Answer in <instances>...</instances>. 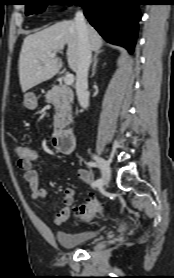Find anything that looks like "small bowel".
I'll list each match as a JSON object with an SVG mask.
<instances>
[{
    "instance_id": "1",
    "label": "small bowel",
    "mask_w": 174,
    "mask_h": 278,
    "mask_svg": "<svg viewBox=\"0 0 174 278\" xmlns=\"http://www.w3.org/2000/svg\"><path fill=\"white\" fill-rule=\"evenodd\" d=\"M37 158V157H36ZM34 159H19L18 166L23 172V178L28 183L30 189V197L32 200H42L48 196V190L40 187L39 175L35 170ZM79 180L87 185L94 183L93 175L86 169H79L77 171ZM93 187V186H92ZM75 192L71 188H67L63 195V203L60 210L55 214L54 222L57 225H62L67 222L72 205L74 203Z\"/></svg>"
}]
</instances>
